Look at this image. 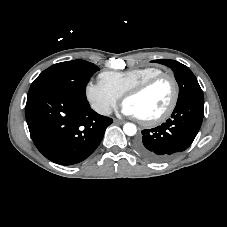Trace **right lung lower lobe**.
I'll return each mask as SVG.
<instances>
[{
    "instance_id": "right-lung-lower-lobe-1",
    "label": "right lung lower lobe",
    "mask_w": 227,
    "mask_h": 227,
    "mask_svg": "<svg viewBox=\"0 0 227 227\" xmlns=\"http://www.w3.org/2000/svg\"><path fill=\"white\" fill-rule=\"evenodd\" d=\"M25 114L35 146L60 165L90 156L112 123L111 118L93 111L84 98L55 91L27 98Z\"/></svg>"
}]
</instances>
